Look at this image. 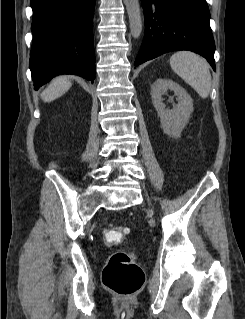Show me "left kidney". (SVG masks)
Segmentation results:
<instances>
[{"label": "left kidney", "mask_w": 245, "mask_h": 319, "mask_svg": "<svg viewBox=\"0 0 245 319\" xmlns=\"http://www.w3.org/2000/svg\"><path fill=\"white\" fill-rule=\"evenodd\" d=\"M167 90L174 91L178 104L173 109H166L162 96ZM151 98L162 124L164 132L173 137H180L193 112V100L186 90L171 79H157L151 86Z\"/></svg>", "instance_id": "1"}]
</instances>
